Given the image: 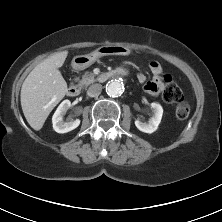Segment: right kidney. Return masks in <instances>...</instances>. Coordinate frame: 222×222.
Returning <instances> with one entry per match:
<instances>
[{
  "instance_id": "obj_1",
  "label": "right kidney",
  "mask_w": 222,
  "mask_h": 222,
  "mask_svg": "<svg viewBox=\"0 0 222 222\" xmlns=\"http://www.w3.org/2000/svg\"><path fill=\"white\" fill-rule=\"evenodd\" d=\"M71 102L69 100H64L55 111L52 117L53 129L57 133H67L75 128H77L80 124V120L69 119L68 121L63 120V116L66 114L67 110L70 108Z\"/></svg>"
}]
</instances>
